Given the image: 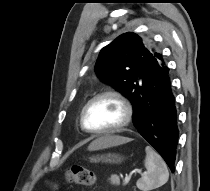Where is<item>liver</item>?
Masks as SVG:
<instances>
[{
	"label": "liver",
	"instance_id": "1",
	"mask_svg": "<svg viewBox=\"0 0 210 191\" xmlns=\"http://www.w3.org/2000/svg\"><path fill=\"white\" fill-rule=\"evenodd\" d=\"M130 138L116 135H105L94 140L89 146V151L105 149L108 147L118 146L130 142Z\"/></svg>",
	"mask_w": 210,
	"mask_h": 191
}]
</instances>
